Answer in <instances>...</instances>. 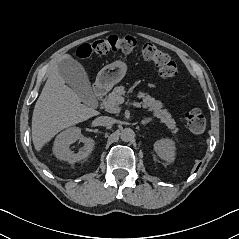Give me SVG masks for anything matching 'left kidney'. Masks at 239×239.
I'll list each match as a JSON object with an SVG mask.
<instances>
[{
    "instance_id": "left-kidney-1",
    "label": "left kidney",
    "mask_w": 239,
    "mask_h": 239,
    "mask_svg": "<svg viewBox=\"0 0 239 239\" xmlns=\"http://www.w3.org/2000/svg\"><path fill=\"white\" fill-rule=\"evenodd\" d=\"M154 150L157 155L167 163L175 160V142L169 138H162L154 143Z\"/></svg>"
}]
</instances>
